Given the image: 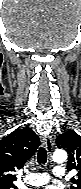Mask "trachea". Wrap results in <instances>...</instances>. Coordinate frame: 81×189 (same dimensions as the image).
I'll return each instance as SVG.
<instances>
[{
  "instance_id": "1",
  "label": "trachea",
  "mask_w": 81,
  "mask_h": 189,
  "mask_svg": "<svg viewBox=\"0 0 81 189\" xmlns=\"http://www.w3.org/2000/svg\"><path fill=\"white\" fill-rule=\"evenodd\" d=\"M38 164H46L47 162V151L44 147H40L37 153Z\"/></svg>"
}]
</instances>
